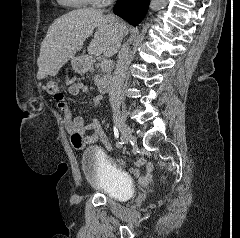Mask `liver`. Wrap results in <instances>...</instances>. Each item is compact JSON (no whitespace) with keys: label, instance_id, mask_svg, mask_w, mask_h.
Wrapping results in <instances>:
<instances>
[{"label":"liver","instance_id":"obj_1","mask_svg":"<svg viewBox=\"0 0 240 238\" xmlns=\"http://www.w3.org/2000/svg\"><path fill=\"white\" fill-rule=\"evenodd\" d=\"M119 21V20H118ZM96 29L88 51L111 57L118 52L128 29L98 9H77L57 18L41 43L37 79L55 76L61 67L82 49L85 40Z\"/></svg>","mask_w":240,"mask_h":238}]
</instances>
